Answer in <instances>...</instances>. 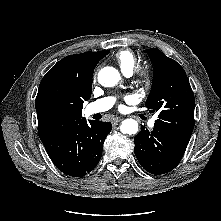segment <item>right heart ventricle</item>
<instances>
[{
	"mask_svg": "<svg viewBox=\"0 0 221 221\" xmlns=\"http://www.w3.org/2000/svg\"><path fill=\"white\" fill-rule=\"evenodd\" d=\"M115 59L125 75L132 74L137 68V58L135 54L128 49L118 51Z\"/></svg>",
	"mask_w": 221,
	"mask_h": 221,
	"instance_id": "right-heart-ventricle-1",
	"label": "right heart ventricle"
}]
</instances>
